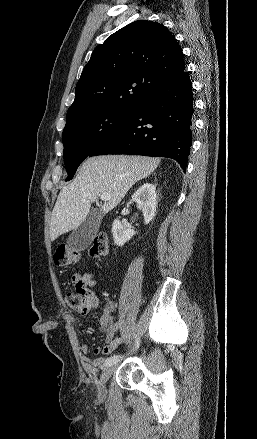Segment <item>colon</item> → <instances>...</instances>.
<instances>
[{"mask_svg":"<svg viewBox=\"0 0 257 439\" xmlns=\"http://www.w3.org/2000/svg\"><path fill=\"white\" fill-rule=\"evenodd\" d=\"M108 251L107 236L104 233H98L92 245L87 250V254L93 258L104 257ZM79 252L68 246H59L54 253L53 259L56 265L65 266L75 263L79 258ZM86 293L82 288L75 289L74 292H68L64 296V301L70 310L82 312L84 310Z\"/></svg>","mask_w":257,"mask_h":439,"instance_id":"obj_1","label":"colon"}]
</instances>
